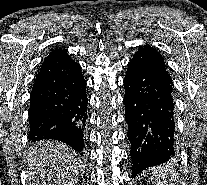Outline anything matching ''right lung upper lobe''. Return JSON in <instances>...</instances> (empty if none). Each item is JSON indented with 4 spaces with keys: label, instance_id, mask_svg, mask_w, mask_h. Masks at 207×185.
I'll return each instance as SVG.
<instances>
[{
    "label": "right lung upper lobe",
    "instance_id": "cb5924a9",
    "mask_svg": "<svg viewBox=\"0 0 207 185\" xmlns=\"http://www.w3.org/2000/svg\"><path fill=\"white\" fill-rule=\"evenodd\" d=\"M80 71V65L67 55L66 49L52 50L42 63L32 90L47 87Z\"/></svg>",
    "mask_w": 207,
    "mask_h": 185
}]
</instances>
